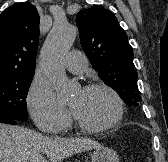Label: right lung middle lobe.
I'll return each mask as SVG.
<instances>
[{
	"label": "right lung middle lobe",
	"mask_w": 168,
	"mask_h": 162,
	"mask_svg": "<svg viewBox=\"0 0 168 162\" xmlns=\"http://www.w3.org/2000/svg\"><path fill=\"white\" fill-rule=\"evenodd\" d=\"M34 71L0 79V118L27 119L26 97Z\"/></svg>",
	"instance_id": "right-lung-middle-lobe-1"
}]
</instances>
